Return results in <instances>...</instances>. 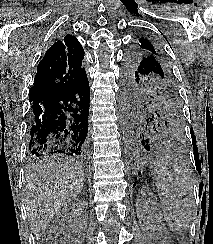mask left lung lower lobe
Here are the masks:
<instances>
[{
  "mask_svg": "<svg viewBox=\"0 0 213 244\" xmlns=\"http://www.w3.org/2000/svg\"><path fill=\"white\" fill-rule=\"evenodd\" d=\"M122 116L126 147L132 156L145 155L164 139L156 126L131 108L123 107Z\"/></svg>",
  "mask_w": 213,
  "mask_h": 244,
  "instance_id": "obj_1",
  "label": "left lung lower lobe"
}]
</instances>
